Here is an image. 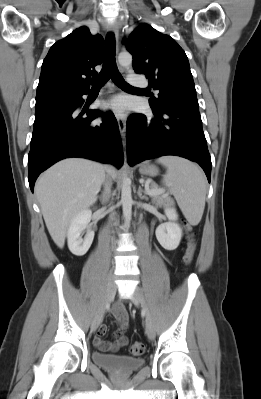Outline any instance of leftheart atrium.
I'll return each mask as SVG.
<instances>
[{
	"label": "left heart atrium",
	"instance_id": "obj_1",
	"mask_svg": "<svg viewBox=\"0 0 261 399\" xmlns=\"http://www.w3.org/2000/svg\"><path fill=\"white\" fill-rule=\"evenodd\" d=\"M104 107L118 114H122L127 108V101L124 97H116L110 102L106 103Z\"/></svg>",
	"mask_w": 261,
	"mask_h": 399
}]
</instances>
